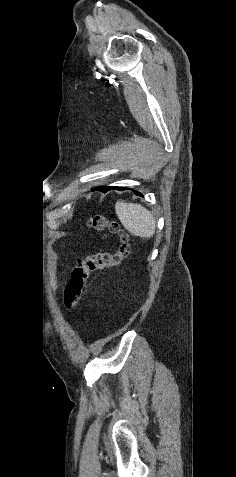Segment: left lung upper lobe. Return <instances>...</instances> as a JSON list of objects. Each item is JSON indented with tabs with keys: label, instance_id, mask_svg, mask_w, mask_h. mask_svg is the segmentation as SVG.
<instances>
[{
	"label": "left lung upper lobe",
	"instance_id": "left-lung-upper-lobe-1",
	"mask_svg": "<svg viewBox=\"0 0 236 477\" xmlns=\"http://www.w3.org/2000/svg\"><path fill=\"white\" fill-rule=\"evenodd\" d=\"M110 188H112V187L104 186V187H102V188H97V189H102L103 192H106V191H108Z\"/></svg>",
	"mask_w": 236,
	"mask_h": 477
}]
</instances>
